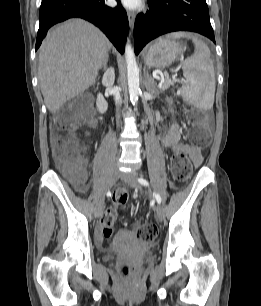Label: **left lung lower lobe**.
<instances>
[{
  "label": "left lung lower lobe",
  "mask_w": 261,
  "mask_h": 306,
  "mask_svg": "<svg viewBox=\"0 0 261 306\" xmlns=\"http://www.w3.org/2000/svg\"><path fill=\"white\" fill-rule=\"evenodd\" d=\"M148 4L150 10L135 20L136 55L149 41L175 31L198 32L215 43L206 0H148Z\"/></svg>",
  "instance_id": "1"
}]
</instances>
